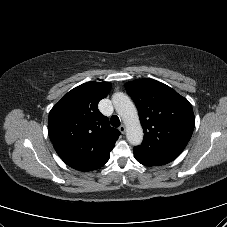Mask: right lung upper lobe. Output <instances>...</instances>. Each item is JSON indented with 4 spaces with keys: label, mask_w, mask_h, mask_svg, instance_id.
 <instances>
[{
    "label": "right lung upper lobe",
    "mask_w": 227,
    "mask_h": 227,
    "mask_svg": "<svg viewBox=\"0 0 227 227\" xmlns=\"http://www.w3.org/2000/svg\"><path fill=\"white\" fill-rule=\"evenodd\" d=\"M110 89L108 82L84 83L69 91L49 113L48 133L54 148L74 169L97 164L120 135L97 108Z\"/></svg>",
    "instance_id": "cb5924a9"
}]
</instances>
